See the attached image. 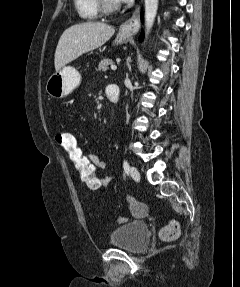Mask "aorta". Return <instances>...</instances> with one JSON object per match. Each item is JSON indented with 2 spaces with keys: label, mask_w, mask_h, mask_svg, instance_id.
<instances>
[{
  "label": "aorta",
  "mask_w": 240,
  "mask_h": 287,
  "mask_svg": "<svg viewBox=\"0 0 240 287\" xmlns=\"http://www.w3.org/2000/svg\"><path fill=\"white\" fill-rule=\"evenodd\" d=\"M158 0H145V32L148 37L157 14Z\"/></svg>",
  "instance_id": "aorta-1"
}]
</instances>
